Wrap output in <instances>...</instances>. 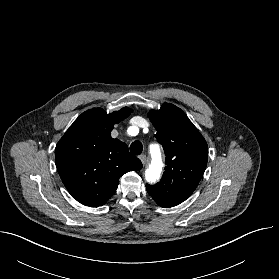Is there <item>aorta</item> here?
I'll list each match as a JSON object with an SVG mask.
<instances>
[{
	"mask_svg": "<svg viewBox=\"0 0 279 279\" xmlns=\"http://www.w3.org/2000/svg\"><path fill=\"white\" fill-rule=\"evenodd\" d=\"M162 161L159 156V153H155L153 156L152 164L146 172V180L149 182H155L160 177V173L162 171Z\"/></svg>",
	"mask_w": 279,
	"mask_h": 279,
	"instance_id": "aorta-1",
	"label": "aorta"
}]
</instances>
